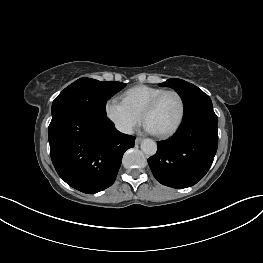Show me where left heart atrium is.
<instances>
[{"mask_svg":"<svg viewBox=\"0 0 263 263\" xmlns=\"http://www.w3.org/2000/svg\"><path fill=\"white\" fill-rule=\"evenodd\" d=\"M145 129H146V131H148L150 133H156L155 130L150 125H148L147 123L145 124Z\"/></svg>","mask_w":263,"mask_h":263,"instance_id":"1","label":"left heart atrium"}]
</instances>
